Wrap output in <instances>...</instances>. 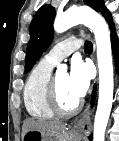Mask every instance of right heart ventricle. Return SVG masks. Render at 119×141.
Returning a JSON list of instances; mask_svg holds the SVG:
<instances>
[{
    "instance_id": "obj_1",
    "label": "right heart ventricle",
    "mask_w": 119,
    "mask_h": 141,
    "mask_svg": "<svg viewBox=\"0 0 119 141\" xmlns=\"http://www.w3.org/2000/svg\"><path fill=\"white\" fill-rule=\"evenodd\" d=\"M54 66L41 60L26 80L23 94L25 107L28 113L36 119H51L55 115L46 101V90Z\"/></svg>"
}]
</instances>
